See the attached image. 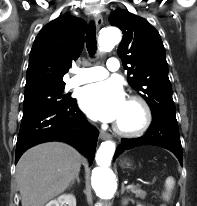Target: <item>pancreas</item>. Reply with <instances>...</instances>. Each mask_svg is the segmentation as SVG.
Here are the masks:
<instances>
[{
  "label": "pancreas",
  "instance_id": "1",
  "mask_svg": "<svg viewBox=\"0 0 197 206\" xmlns=\"http://www.w3.org/2000/svg\"><path fill=\"white\" fill-rule=\"evenodd\" d=\"M130 191L133 194H135L137 197H140L142 199H144L146 196V192L143 191L142 189H140V187H138V186H133L132 188H130Z\"/></svg>",
  "mask_w": 197,
  "mask_h": 206
}]
</instances>
